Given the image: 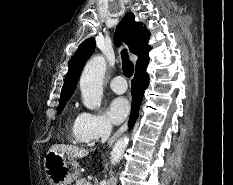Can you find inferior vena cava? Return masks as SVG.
<instances>
[{"mask_svg":"<svg viewBox=\"0 0 233 185\" xmlns=\"http://www.w3.org/2000/svg\"><path fill=\"white\" fill-rule=\"evenodd\" d=\"M111 129H112V127H111L110 123H106L104 125L103 131H102V136H101V142L102 143H105L108 140V138L110 137V135H111ZM100 185H106V182L102 181L100 183Z\"/></svg>","mask_w":233,"mask_h":185,"instance_id":"inferior-vena-cava-1","label":"inferior vena cava"}]
</instances>
